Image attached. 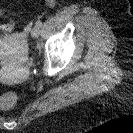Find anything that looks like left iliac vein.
Returning a JSON list of instances; mask_svg holds the SVG:
<instances>
[{"instance_id":"obj_1","label":"left iliac vein","mask_w":133,"mask_h":133,"mask_svg":"<svg viewBox=\"0 0 133 133\" xmlns=\"http://www.w3.org/2000/svg\"><path fill=\"white\" fill-rule=\"evenodd\" d=\"M31 35L33 36V37H38L39 35H40V28L39 27H33L32 29H31Z\"/></svg>"}]
</instances>
